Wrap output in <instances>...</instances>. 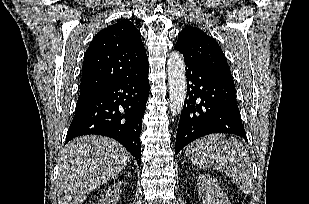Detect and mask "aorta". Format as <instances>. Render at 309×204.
<instances>
[{
	"mask_svg": "<svg viewBox=\"0 0 309 204\" xmlns=\"http://www.w3.org/2000/svg\"><path fill=\"white\" fill-rule=\"evenodd\" d=\"M170 110L173 116L178 115L186 98L185 62L180 52H172L167 61Z\"/></svg>",
	"mask_w": 309,
	"mask_h": 204,
	"instance_id": "aorta-1",
	"label": "aorta"
}]
</instances>
